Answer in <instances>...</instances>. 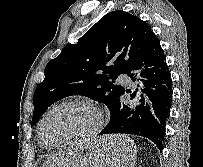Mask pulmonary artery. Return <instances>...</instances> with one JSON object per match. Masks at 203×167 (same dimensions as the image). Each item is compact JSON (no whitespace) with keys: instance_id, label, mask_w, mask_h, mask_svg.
I'll use <instances>...</instances> for the list:
<instances>
[{"instance_id":"e3ab8cb5","label":"pulmonary artery","mask_w":203,"mask_h":167,"mask_svg":"<svg viewBox=\"0 0 203 167\" xmlns=\"http://www.w3.org/2000/svg\"><path fill=\"white\" fill-rule=\"evenodd\" d=\"M118 81L119 82H123L125 84H131L132 83L131 79L127 75H125V74H121L118 77Z\"/></svg>"}]
</instances>
